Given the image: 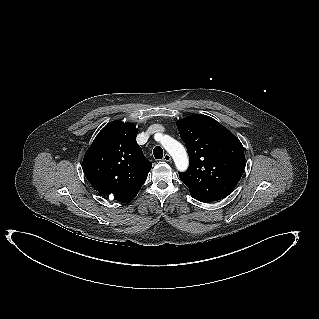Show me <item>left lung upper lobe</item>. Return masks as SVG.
Listing matches in <instances>:
<instances>
[{"label":"left lung upper lobe","instance_id":"1","mask_svg":"<svg viewBox=\"0 0 319 319\" xmlns=\"http://www.w3.org/2000/svg\"><path fill=\"white\" fill-rule=\"evenodd\" d=\"M189 154V168L179 173L191 195L210 201L228 196L238 184L245 168L244 149L228 129L201 114L177 122Z\"/></svg>","mask_w":319,"mask_h":319}]
</instances>
